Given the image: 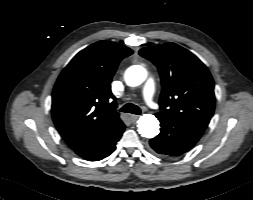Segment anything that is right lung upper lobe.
Here are the masks:
<instances>
[{
  "label": "right lung upper lobe",
  "instance_id": "1",
  "mask_svg": "<svg viewBox=\"0 0 253 200\" xmlns=\"http://www.w3.org/2000/svg\"><path fill=\"white\" fill-rule=\"evenodd\" d=\"M128 47L96 42L80 51L60 74L52 93V117L73 149L96 142L122 124L111 99V80ZM112 104H115L113 102Z\"/></svg>",
  "mask_w": 253,
  "mask_h": 200
}]
</instances>
